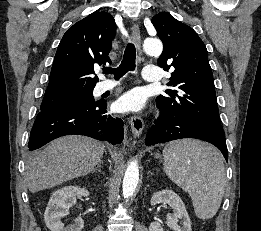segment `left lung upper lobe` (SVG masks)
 I'll use <instances>...</instances> for the list:
<instances>
[{
	"label": "left lung upper lobe",
	"mask_w": 261,
	"mask_h": 231,
	"mask_svg": "<svg viewBox=\"0 0 261 231\" xmlns=\"http://www.w3.org/2000/svg\"><path fill=\"white\" fill-rule=\"evenodd\" d=\"M152 24L164 45L157 64L165 71L174 69L168 85L175 89L166 90L167 96L157 97L158 108L180 113L197 125L225 137L206 46L191 27L167 12L155 15Z\"/></svg>",
	"instance_id": "1"
}]
</instances>
